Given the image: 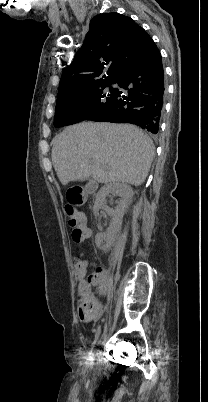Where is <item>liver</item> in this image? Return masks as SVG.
Wrapping results in <instances>:
<instances>
[{"mask_svg":"<svg viewBox=\"0 0 208 402\" xmlns=\"http://www.w3.org/2000/svg\"><path fill=\"white\" fill-rule=\"evenodd\" d=\"M52 164L63 186L93 178L99 184L141 186L154 156L152 140L132 124L82 122L53 140Z\"/></svg>","mask_w":208,"mask_h":402,"instance_id":"1","label":"liver"}]
</instances>
